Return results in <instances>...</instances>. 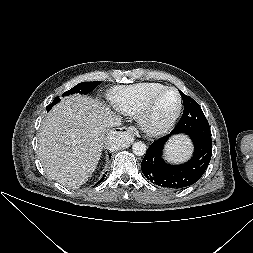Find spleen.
I'll return each mask as SVG.
<instances>
[{
    "instance_id": "obj_1",
    "label": "spleen",
    "mask_w": 253,
    "mask_h": 253,
    "mask_svg": "<svg viewBox=\"0 0 253 253\" xmlns=\"http://www.w3.org/2000/svg\"><path fill=\"white\" fill-rule=\"evenodd\" d=\"M191 153V144L185 137L173 138L166 146L167 159L180 162L188 158Z\"/></svg>"
}]
</instances>
